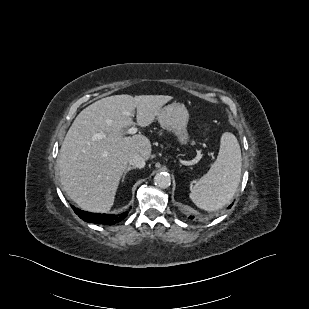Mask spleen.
Returning a JSON list of instances; mask_svg holds the SVG:
<instances>
[{"label": "spleen", "mask_w": 309, "mask_h": 309, "mask_svg": "<svg viewBox=\"0 0 309 309\" xmlns=\"http://www.w3.org/2000/svg\"><path fill=\"white\" fill-rule=\"evenodd\" d=\"M242 157L237 138L230 132L221 136L216 161L192 187L193 203L206 211H215L233 198L241 178Z\"/></svg>", "instance_id": "1"}]
</instances>
